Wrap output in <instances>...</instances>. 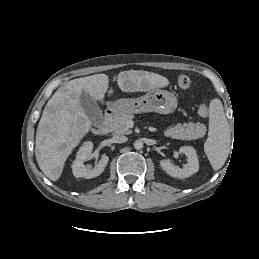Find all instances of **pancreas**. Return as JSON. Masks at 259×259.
Instances as JSON below:
<instances>
[{
	"instance_id": "pancreas-1",
	"label": "pancreas",
	"mask_w": 259,
	"mask_h": 259,
	"mask_svg": "<svg viewBox=\"0 0 259 259\" xmlns=\"http://www.w3.org/2000/svg\"><path fill=\"white\" fill-rule=\"evenodd\" d=\"M134 118L133 114H124L116 118L108 119L106 125L113 135H128L132 131L127 127L126 123ZM206 133L204 124L197 123H184L170 126L164 132L166 137L182 140H196L202 138Z\"/></svg>"
}]
</instances>
